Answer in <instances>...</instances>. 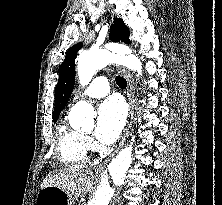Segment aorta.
<instances>
[{"mask_svg":"<svg viewBox=\"0 0 222 205\" xmlns=\"http://www.w3.org/2000/svg\"><path fill=\"white\" fill-rule=\"evenodd\" d=\"M113 62L124 64L141 74L140 61L131 55V51L127 47L108 45L106 49L80 53L77 65L80 84L87 85L98 70ZM94 115L95 111L91 104L79 101L70 110L69 122L73 128H80L83 131L92 130ZM138 148V142L133 137L130 143L109 164L94 192V205H109L120 194L134 164Z\"/></svg>","mask_w":222,"mask_h":205,"instance_id":"aorta-1","label":"aorta"}]
</instances>
